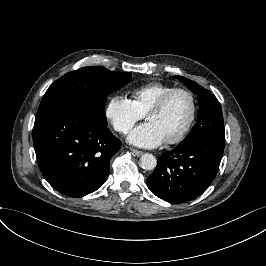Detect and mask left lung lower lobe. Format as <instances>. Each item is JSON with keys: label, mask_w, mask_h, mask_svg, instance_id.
Wrapping results in <instances>:
<instances>
[{"label": "left lung lower lobe", "mask_w": 266, "mask_h": 266, "mask_svg": "<svg viewBox=\"0 0 266 266\" xmlns=\"http://www.w3.org/2000/svg\"><path fill=\"white\" fill-rule=\"evenodd\" d=\"M225 138L208 136L178 145L162 154L146 182L150 191L170 203L200 196L214 180L223 156Z\"/></svg>", "instance_id": "obj_1"}]
</instances>
